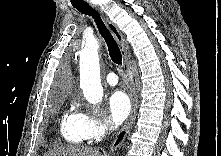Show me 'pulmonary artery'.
<instances>
[{
  "label": "pulmonary artery",
  "mask_w": 221,
  "mask_h": 156,
  "mask_svg": "<svg viewBox=\"0 0 221 156\" xmlns=\"http://www.w3.org/2000/svg\"><path fill=\"white\" fill-rule=\"evenodd\" d=\"M106 82L111 85L114 86L118 83V77L114 72H110L109 74H107L106 76Z\"/></svg>",
  "instance_id": "obj_1"
}]
</instances>
